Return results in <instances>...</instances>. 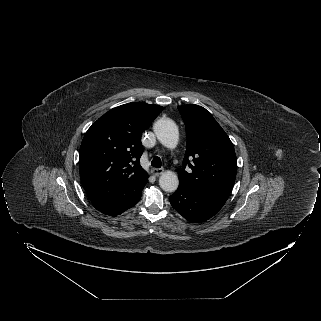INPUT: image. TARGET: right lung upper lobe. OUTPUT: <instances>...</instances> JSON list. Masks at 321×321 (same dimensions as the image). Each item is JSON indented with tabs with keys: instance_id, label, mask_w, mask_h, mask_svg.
<instances>
[{
	"instance_id": "cb5924a9",
	"label": "right lung upper lobe",
	"mask_w": 321,
	"mask_h": 321,
	"mask_svg": "<svg viewBox=\"0 0 321 321\" xmlns=\"http://www.w3.org/2000/svg\"><path fill=\"white\" fill-rule=\"evenodd\" d=\"M162 106L132 102L111 109L86 132L79 151L83 186L94 206L124 204L141 195L148 181L140 165L141 133Z\"/></svg>"
}]
</instances>
